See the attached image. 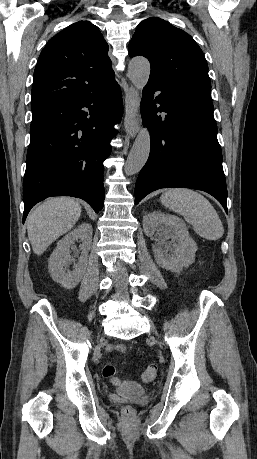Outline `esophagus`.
Returning a JSON list of instances; mask_svg holds the SVG:
<instances>
[{"label":"esophagus","mask_w":257,"mask_h":459,"mask_svg":"<svg viewBox=\"0 0 257 459\" xmlns=\"http://www.w3.org/2000/svg\"><path fill=\"white\" fill-rule=\"evenodd\" d=\"M139 105L140 98L137 90L130 86L125 99V132L130 138H134L139 130Z\"/></svg>","instance_id":"obj_1"}]
</instances>
